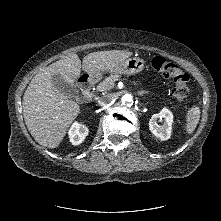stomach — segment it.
<instances>
[{"label":"stomach","mask_w":221,"mask_h":221,"mask_svg":"<svg viewBox=\"0 0 221 221\" xmlns=\"http://www.w3.org/2000/svg\"><path fill=\"white\" fill-rule=\"evenodd\" d=\"M145 67V61L138 57L128 58L121 62L114 69L109 72L115 74H127L132 75L141 72ZM102 73L94 74L95 77L101 76Z\"/></svg>","instance_id":"obj_1"}]
</instances>
